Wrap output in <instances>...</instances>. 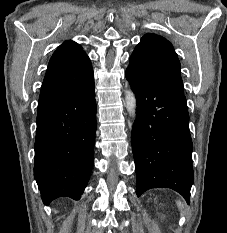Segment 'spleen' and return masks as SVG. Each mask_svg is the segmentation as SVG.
<instances>
[{
    "mask_svg": "<svg viewBox=\"0 0 227 233\" xmlns=\"http://www.w3.org/2000/svg\"><path fill=\"white\" fill-rule=\"evenodd\" d=\"M177 206H178V208L180 209V210H182V208H183V203L181 202V201H177Z\"/></svg>",
    "mask_w": 227,
    "mask_h": 233,
    "instance_id": "obj_1",
    "label": "spleen"
}]
</instances>
